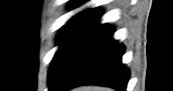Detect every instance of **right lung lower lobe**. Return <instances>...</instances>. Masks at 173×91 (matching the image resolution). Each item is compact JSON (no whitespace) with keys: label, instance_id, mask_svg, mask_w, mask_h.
Returning a JSON list of instances; mask_svg holds the SVG:
<instances>
[{"label":"right lung lower lobe","instance_id":"1","mask_svg":"<svg viewBox=\"0 0 173 91\" xmlns=\"http://www.w3.org/2000/svg\"><path fill=\"white\" fill-rule=\"evenodd\" d=\"M100 15L75 35L49 78L50 91L95 84L125 91L129 70L121 63L124 46L113 40V28Z\"/></svg>","mask_w":173,"mask_h":91}]
</instances>
